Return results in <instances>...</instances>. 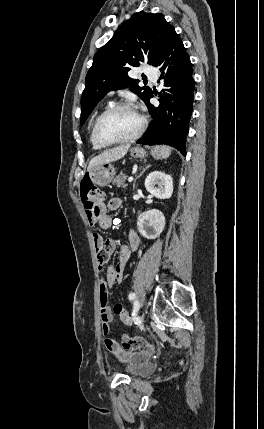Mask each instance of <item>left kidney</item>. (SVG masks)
<instances>
[{"mask_svg": "<svg viewBox=\"0 0 264 429\" xmlns=\"http://www.w3.org/2000/svg\"><path fill=\"white\" fill-rule=\"evenodd\" d=\"M145 188L158 199H169L173 193L172 177L162 171H153L145 179ZM137 227L143 237L155 239L164 230L165 217L157 209L148 210L139 215Z\"/></svg>", "mask_w": 264, "mask_h": 429, "instance_id": "obj_1", "label": "left kidney"}]
</instances>
